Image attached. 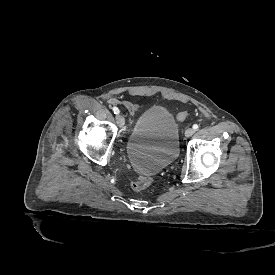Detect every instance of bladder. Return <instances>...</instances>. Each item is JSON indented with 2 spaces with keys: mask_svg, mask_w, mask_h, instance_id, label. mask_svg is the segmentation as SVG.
Returning a JSON list of instances; mask_svg holds the SVG:
<instances>
[{
  "mask_svg": "<svg viewBox=\"0 0 275 275\" xmlns=\"http://www.w3.org/2000/svg\"><path fill=\"white\" fill-rule=\"evenodd\" d=\"M128 146L130 162L143 174H157L179 155L178 123L169 107L153 104L137 118Z\"/></svg>",
  "mask_w": 275,
  "mask_h": 275,
  "instance_id": "bladder-1",
  "label": "bladder"
}]
</instances>
